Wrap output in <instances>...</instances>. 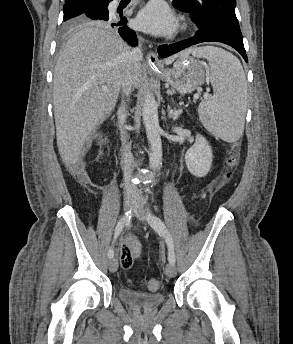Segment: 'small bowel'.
<instances>
[{
	"instance_id": "small-bowel-1",
	"label": "small bowel",
	"mask_w": 293,
	"mask_h": 344,
	"mask_svg": "<svg viewBox=\"0 0 293 344\" xmlns=\"http://www.w3.org/2000/svg\"><path fill=\"white\" fill-rule=\"evenodd\" d=\"M141 253V242L134 235H128L119 248V258L122 267L129 269L134 260L140 258Z\"/></svg>"
}]
</instances>
